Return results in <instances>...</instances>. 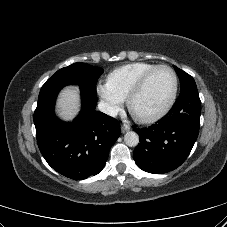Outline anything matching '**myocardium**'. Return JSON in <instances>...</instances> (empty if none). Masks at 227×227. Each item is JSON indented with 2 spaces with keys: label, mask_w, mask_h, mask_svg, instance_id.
<instances>
[{
  "label": "myocardium",
  "mask_w": 227,
  "mask_h": 227,
  "mask_svg": "<svg viewBox=\"0 0 227 227\" xmlns=\"http://www.w3.org/2000/svg\"><path fill=\"white\" fill-rule=\"evenodd\" d=\"M160 69H168L173 75L174 84H173V90H172V93L170 95V98H169L168 102L165 104V106L160 111H158L157 113H155L151 116H145V117L144 116H138L133 111V102H134L135 98L139 95V93L143 90V88L146 85L149 78L156 71H158ZM178 88H179V79H178V75H177L176 71L171 66L166 65V64L156 65L155 67H153L150 70H148L147 72H145L138 79V81L135 83V85L133 86V88L129 92L128 97H127L128 109L139 122H141V123H154V122L160 120L161 118H163L171 110V108L173 107V105L176 101V98H177Z\"/></svg>",
  "instance_id": "1"
}]
</instances>
